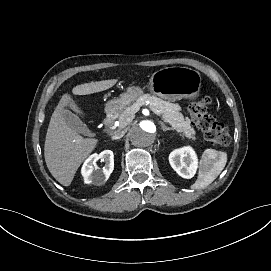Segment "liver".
Here are the masks:
<instances>
[{"label":"liver","mask_w":271,"mask_h":271,"mask_svg":"<svg viewBox=\"0 0 271 271\" xmlns=\"http://www.w3.org/2000/svg\"><path fill=\"white\" fill-rule=\"evenodd\" d=\"M118 81L109 79L79 84L73 87L72 94L80 96L101 92L113 87ZM70 110L82 119L86 118L85 111L66 92L51 117L44 151L50 173L65 187L71 185L78 168L99 142L98 138H83L70 127L66 118Z\"/></svg>","instance_id":"obj_1"}]
</instances>
